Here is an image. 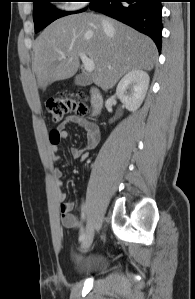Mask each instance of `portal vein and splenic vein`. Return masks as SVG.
<instances>
[{"instance_id":"obj_1","label":"portal vein and splenic vein","mask_w":195,"mask_h":299,"mask_svg":"<svg viewBox=\"0 0 195 299\" xmlns=\"http://www.w3.org/2000/svg\"><path fill=\"white\" fill-rule=\"evenodd\" d=\"M61 56H62V58H64L65 54H62ZM79 56H80V58L82 60V63L84 65V69L87 72L94 71V68H95L94 60L88 58L84 53H80Z\"/></svg>"}]
</instances>
